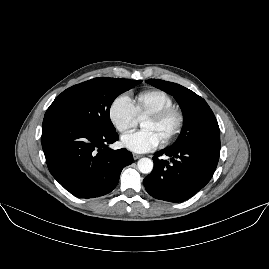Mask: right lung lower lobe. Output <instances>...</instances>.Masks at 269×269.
I'll list each match as a JSON object with an SVG mask.
<instances>
[{"instance_id": "right-lung-lower-lobe-1", "label": "right lung lower lobe", "mask_w": 269, "mask_h": 269, "mask_svg": "<svg viewBox=\"0 0 269 269\" xmlns=\"http://www.w3.org/2000/svg\"><path fill=\"white\" fill-rule=\"evenodd\" d=\"M116 132L104 133L61 113L47 111L42 125V148L53 177L79 198L111 192L122 169L133 162L126 149L112 150Z\"/></svg>"}]
</instances>
